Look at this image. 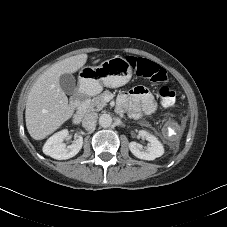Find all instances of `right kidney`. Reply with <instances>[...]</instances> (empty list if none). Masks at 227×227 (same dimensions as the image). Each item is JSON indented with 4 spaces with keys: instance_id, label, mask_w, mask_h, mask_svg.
<instances>
[{
    "instance_id": "right-kidney-1",
    "label": "right kidney",
    "mask_w": 227,
    "mask_h": 227,
    "mask_svg": "<svg viewBox=\"0 0 227 227\" xmlns=\"http://www.w3.org/2000/svg\"><path fill=\"white\" fill-rule=\"evenodd\" d=\"M68 130L64 129L51 136L43 146V152L57 160H66L74 157L82 148L83 138H78L69 146L63 143L68 137Z\"/></svg>"
}]
</instances>
